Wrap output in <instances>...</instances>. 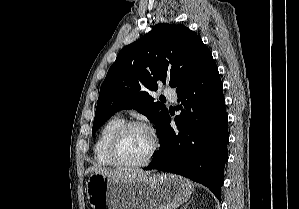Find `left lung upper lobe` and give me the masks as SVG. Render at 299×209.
Returning a JSON list of instances; mask_svg holds the SVG:
<instances>
[{
    "label": "left lung upper lobe",
    "instance_id": "1",
    "mask_svg": "<svg viewBox=\"0 0 299 209\" xmlns=\"http://www.w3.org/2000/svg\"><path fill=\"white\" fill-rule=\"evenodd\" d=\"M212 58L199 35L181 24H157L143 38L124 47L111 65L101 86L93 134L122 109H137L159 129L168 115L149 91L158 82L180 87Z\"/></svg>",
    "mask_w": 299,
    "mask_h": 209
}]
</instances>
